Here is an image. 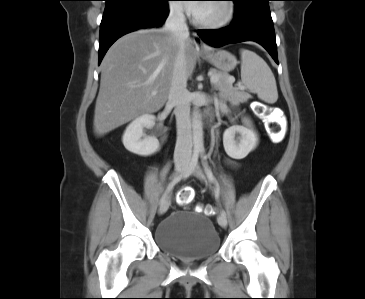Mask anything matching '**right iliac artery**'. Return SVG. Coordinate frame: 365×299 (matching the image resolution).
Segmentation results:
<instances>
[{
  "label": "right iliac artery",
  "mask_w": 365,
  "mask_h": 299,
  "mask_svg": "<svg viewBox=\"0 0 365 299\" xmlns=\"http://www.w3.org/2000/svg\"><path fill=\"white\" fill-rule=\"evenodd\" d=\"M198 159H199V150L195 149L193 151V155H192V158H191V162L189 164V167L187 168V170L180 174L179 176H176L170 183L169 185L167 186L164 194L162 195L161 197V203H163L166 199H167V196L168 194L173 190L174 186L183 178H186L188 177L192 171L195 169L196 165L198 164Z\"/></svg>",
  "instance_id": "1"
}]
</instances>
